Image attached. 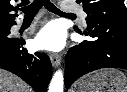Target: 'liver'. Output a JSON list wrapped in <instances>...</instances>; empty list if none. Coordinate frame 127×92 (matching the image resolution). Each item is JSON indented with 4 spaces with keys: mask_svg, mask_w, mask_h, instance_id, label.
<instances>
[{
    "mask_svg": "<svg viewBox=\"0 0 127 92\" xmlns=\"http://www.w3.org/2000/svg\"><path fill=\"white\" fill-rule=\"evenodd\" d=\"M0 92H32L31 88L16 75L0 69Z\"/></svg>",
    "mask_w": 127,
    "mask_h": 92,
    "instance_id": "1",
    "label": "liver"
}]
</instances>
